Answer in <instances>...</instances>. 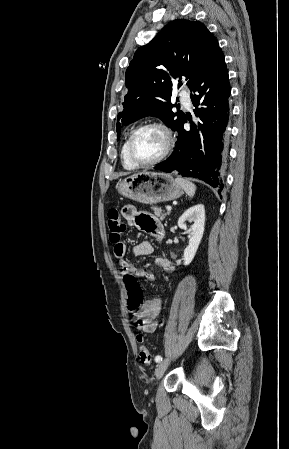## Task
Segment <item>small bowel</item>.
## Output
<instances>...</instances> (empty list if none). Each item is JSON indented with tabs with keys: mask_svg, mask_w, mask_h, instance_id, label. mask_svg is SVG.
<instances>
[{
	"mask_svg": "<svg viewBox=\"0 0 289 449\" xmlns=\"http://www.w3.org/2000/svg\"><path fill=\"white\" fill-rule=\"evenodd\" d=\"M122 211L125 219L131 226L137 227L155 238H163V227L158 218L153 214L146 211H138L133 206H125ZM126 251L127 246L124 243H118L114 247V255L119 263L121 275L124 280L126 277H140L147 281L155 280V275L152 271L137 268L127 260L125 258ZM153 251V244L148 240H145L132 248L134 256L150 255ZM154 263L165 272L169 273L174 271L173 263L162 255H156L154 257ZM160 310V299L154 298L144 301L141 304L139 311L134 314L135 326L145 333H153L158 326L157 317Z\"/></svg>",
	"mask_w": 289,
	"mask_h": 449,
	"instance_id": "small-bowel-1",
	"label": "small bowel"
}]
</instances>
